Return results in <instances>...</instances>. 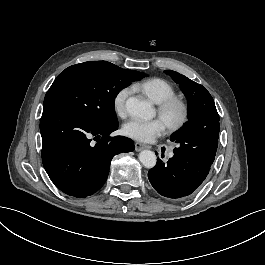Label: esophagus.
<instances>
[{
  "label": "esophagus",
  "instance_id": "obj_1",
  "mask_svg": "<svg viewBox=\"0 0 265 265\" xmlns=\"http://www.w3.org/2000/svg\"><path fill=\"white\" fill-rule=\"evenodd\" d=\"M150 148H151L150 145H147V144H144V143H140V142L135 143V150L137 152H140L143 149H150Z\"/></svg>",
  "mask_w": 265,
  "mask_h": 265
}]
</instances>
